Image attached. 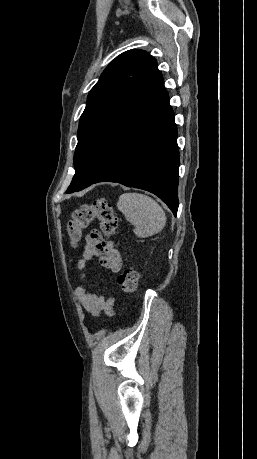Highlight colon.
<instances>
[{"label":"colon","instance_id":"5ec220e1","mask_svg":"<svg viewBox=\"0 0 257 459\" xmlns=\"http://www.w3.org/2000/svg\"><path fill=\"white\" fill-rule=\"evenodd\" d=\"M95 220L99 221L100 229L105 237L113 236L118 227L111 203L105 198L96 199L92 204L84 205L75 210L72 219L67 223L68 237L73 246L81 239L82 233ZM121 289L127 293H135L139 286V274L133 267L124 269L118 276Z\"/></svg>","mask_w":257,"mask_h":459}]
</instances>
